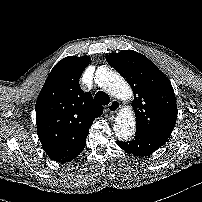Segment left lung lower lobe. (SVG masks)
I'll use <instances>...</instances> for the list:
<instances>
[{
	"label": "left lung lower lobe",
	"mask_w": 202,
	"mask_h": 202,
	"mask_svg": "<svg viewBox=\"0 0 202 202\" xmlns=\"http://www.w3.org/2000/svg\"><path fill=\"white\" fill-rule=\"evenodd\" d=\"M166 138L161 136H153L137 133L131 141H117L118 146L123 150L137 156H148L160 148Z\"/></svg>",
	"instance_id": "1"
}]
</instances>
